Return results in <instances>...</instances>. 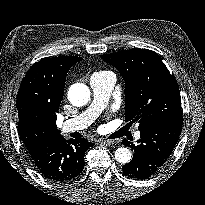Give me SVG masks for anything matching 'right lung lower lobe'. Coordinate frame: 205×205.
Segmentation results:
<instances>
[{
    "instance_id": "right-lung-lower-lobe-1",
    "label": "right lung lower lobe",
    "mask_w": 205,
    "mask_h": 205,
    "mask_svg": "<svg viewBox=\"0 0 205 205\" xmlns=\"http://www.w3.org/2000/svg\"><path fill=\"white\" fill-rule=\"evenodd\" d=\"M93 145L84 138L60 137L32 145L27 152L43 176L53 181H68L82 172L85 152Z\"/></svg>"
}]
</instances>
